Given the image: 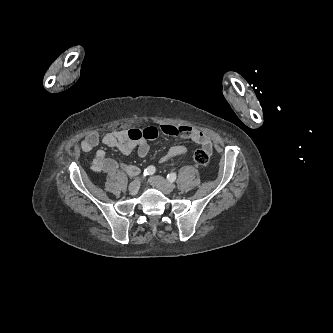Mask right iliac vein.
<instances>
[{"mask_svg":"<svg viewBox=\"0 0 333 333\" xmlns=\"http://www.w3.org/2000/svg\"><path fill=\"white\" fill-rule=\"evenodd\" d=\"M140 188V180L136 179L129 185V191L131 194H136Z\"/></svg>","mask_w":333,"mask_h":333,"instance_id":"obj_1","label":"right iliac vein"}]
</instances>
